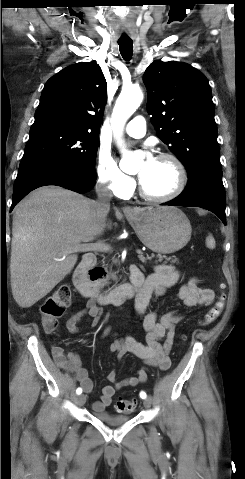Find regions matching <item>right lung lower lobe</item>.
<instances>
[{"mask_svg":"<svg viewBox=\"0 0 245 479\" xmlns=\"http://www.w3.org/2000/svg\"><path fill=\"white\" fill-rule=\"evenodd\" d=\"M95 181V173L62 163H38L21 168L14 183L10 211L38 187L57 185L77 193H85L94 187Z\"/></svg>","mask_w":245,"mask_h":479,"instance_id":"98d812e1","label":"right lung lower lobe"}]
</instances>
